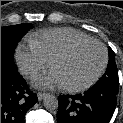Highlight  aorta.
I'll use <instances>...</instances> for the list:
<instances>
[{
    "mask_svg": "<svg viewBox=\"0 0 123 123\" xmlns=\"http://www.w3.org/2000/svg\"><path fill=\"white\" fill-rule=\"evenodd\" d=\"M46 110L54 111L58 108V99L54 95H46L43 100Z\"/></svg>",
    "mask_w": 123,
    "mask_h": 123,
    "instance_id": "1",
    "label": "aorta"
}]
</instances>
